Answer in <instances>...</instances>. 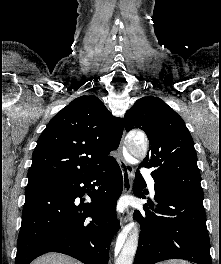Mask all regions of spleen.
<instances>
[{"instance_id": "obj_1", "label": "spleen", "mask_w": 221, "mask_h": 264, "mask_svg": "<svg viewBox=\"0 0 221 264\" xmlns=\"http://www.w3.org/2000/svg\"><path fill=\"white\" fill-rule=\"evenodd\" d=\"M159 264H191L188 261L185 260H178V259H173V260H169L166 262H161Z\"/></svg>"}]
</instances>
